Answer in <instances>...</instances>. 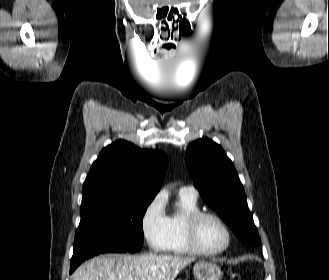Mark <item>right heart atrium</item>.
<instances>
[{"label": "right heart atrium", "instance_id": "obj_1", "mask_svg": "<svg viewBox=\"0 0 329 280\" xmlns=\"http://www.w3.org/2000/svg\"><path fill=\"white\" fill-rule=\"evenodd\" d=\"M140 227L151 249L156 251L164 249L167 238V215L163 195L157 194L145 206L140 218Z\"/></svg>", "mask_w": 329, "mask_h": 280}]
</instances>
